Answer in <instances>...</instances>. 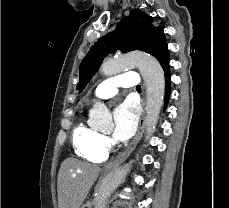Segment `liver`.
I'll return each instance as SVG.
<instances>
[{"label": "liver", "mask_w": 229, "mask_h": 208, "mask_svg": "<svg viewBox=\"0 0 229 208\" xmlns=\"http://www.w3.org/2000/svg\"><path fill=\"white\" fill-rule=\"evenodd\" d=\"M101 168L67 158L58 172L57 190L59 208H80Z\"/></svg>", "instance_id": "liver-1"}]
</instances>
